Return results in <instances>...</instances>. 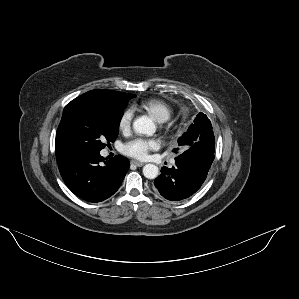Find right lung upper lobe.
Listing matches in <instances>:
<instances>
[{
	"mask_svg": "<svg viewBox=\"0 0 299 299\" xmlns=\"http://www.w3.org/2000/svg\"><path fill=\"white\" fill-rule=\"evenodd\" d=\"M124 94H126V93L112 91V90H102V89L91 90V91H88L85 94L75 98L71 102H69L65 106L63 114L66 112V110L69 107H71L72 105H74L78 102H82V101L112 102ZM55 151H56V157H57L58 163H61L65 160H67L68 158L76 155L75 153L71 152L65 145V143L62 139L61 133H60V124H59L57 134H56Z\"/></svg>",
	"mask_w": 299,
	"mask_h": 299,
	"instance_id": "obj_1",
	"label": "right lung upper lobe"
}]
</instances>
